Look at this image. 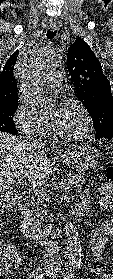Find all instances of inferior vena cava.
I'll use <instances>...</instances> for the list:
<instances>
[{
    "label": "inferior vena cava",
    "instance_id": "1",
    "mask_svg": "<svg viewBox=\"0 0 113 279\" xmlns=\"http://www.w3.org/2000/svg\"><path fill=\"white\" fill-rule=\"evenodd\" d=\"M29 146L39 153H43L46 150L45 144L42 142L41 138H35L30 143ZM51 233V226H49V229L47 231V234L49 235ZM59 247L58 243L51 238V240H48L45 245V251H44V269L46 272L51 274H57L61 270V256L59 253Z\"/></svg>",
    "mask_w": 113,
    "mask_h": 279
}]
</instances>
